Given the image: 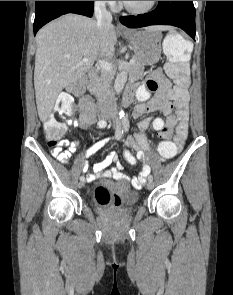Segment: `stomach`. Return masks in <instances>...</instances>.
I'll return each mask as SVG.
<instances>
[{
    "mask_svg": "<svg viewBox=\"0 0 233 295\" xmlns=\"http://www.w3.org/2000/svg\"><path fill=\"white\" fill-rule=\"evenodd\" d=\"M123 36L131 43L135 58L143 65H153L161 57V31L155 26L130 30Z\"/></svg>",
    "mask_w": 233,
    "mask_h": 295,
    "instance_id": "0dacf381",
    "label": "stomach"
}]
</instances>
